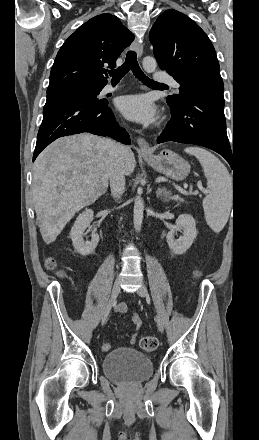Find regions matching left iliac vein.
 Listing matches in <instances>:
<instances>
[{"instance_id": "4c4485c4", "label": "left iliac vein", "mask_w": 259, "mask_h": 440, "mask_svg": "<svg viewBox=\"0 0 259 440\" xmlns=\"http://www.w3.org/2000/svg\"><path fill=\"white\" fill-rule=\"evenodd\" d=\"M137 294L139 296L143 297V298H147L148 297L147 289H146L145 286H140L137 289ZM156 323H157L158 330L162 333L163 330H164V325H163V322H162V320H161L159 315L156 316Z\"/></svg>"}]
</instances>
